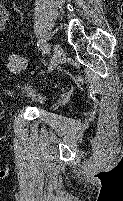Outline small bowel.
<instances>
[{
	"label": "small bowel",
	"mask_w": 123,
	"mask_h": 201,
	"mask_svg": "<svg viewBox=\"0 0 123 201\" xmlns=\"http://www.w3.org/2000/svg\"><path fill=\"white\" fill-rule=\"evenodd\" d=\"M9 10L6 7L0 6V32H2L9 20Z\"/></svg>",
	"instance_id": "obj_1"
}]
</instances>
